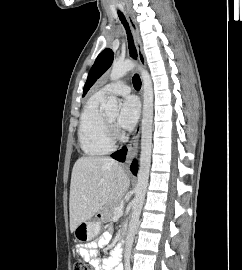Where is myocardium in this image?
Listing matches in <instances>:
<instances>
[{"label": "myocardium", "mask_w": 242, "mask_h": 270, "mask_svg": "<svg viewBox=\"0 0 242 270\" xmlns=\"http://www.w3.org/2000/svg\"><path fill=\"white\" fill-rule=\"evenodd\" d=\"M105 124L109 142L114 145L118 138V131L115 123L112 122L107 116L105 117Z\"/></svg>", "instance_id": "1"}]
</instances>
